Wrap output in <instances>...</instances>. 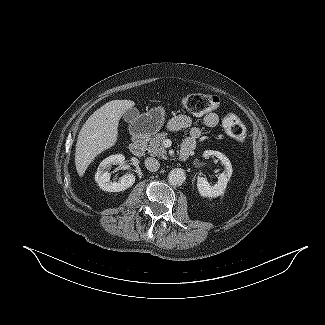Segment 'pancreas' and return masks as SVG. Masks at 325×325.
Returning <instances> with one entry per match:
<instances>
[{
	"instance_id": "1",
	"label": "pancreas",
	"mask_w": 325,
	"mask_h": 325,
	"mask_svg": "<svg viewBox=\"0 0 325 325\" xmlns=\"http://www.w3.org/2000/svg\"><path fill=\"white\" fill-rule=\"evenodd\" d=\"M167 138V133H158L150 139L149 145L147 147L148 153L151 156L165 158L166 149L163 145V141Z\"/></svg>"
}]
</instances>
